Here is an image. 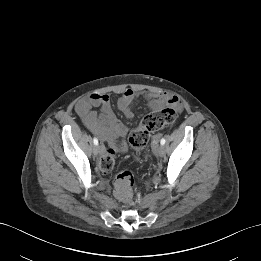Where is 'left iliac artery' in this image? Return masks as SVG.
<instances>
[{
  "mask_svg": "<svg viewBox=\"0 0 261 261\" xmlns=\"http://www.w3.org/2000/svg\"><path fill=\"white\" fill-rule=\"evenodd\" d=\"M165 142H166L165 138H162L161 141H160V144H161V145H164Z\"/></svg>",
  "mask_w": 261,
  "mask_h": 261,
  "instance_id": "1",
  "label": "left iliac artery"
}]
</instances>
